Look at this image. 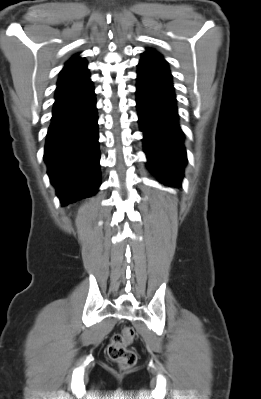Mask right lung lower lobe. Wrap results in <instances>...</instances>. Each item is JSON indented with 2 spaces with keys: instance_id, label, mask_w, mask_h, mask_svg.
Instances as JSON below:
<instances>
[{
  "instance_id": "obj_1",
  "label": "right lung lower lobe",
  "mask_w": 261,
  "mask_h": 399,
  "mask_svg": "<svg viewBox=\"0 0 261 399\" xmlns=\"http://www.w3.org/2000/svg\"><path fill=\"white\" fill-rule=\"evenodd\" d=\"M97 109L90 75L57 86L44 159L62 205L100 186Z\"/></svg>"
}]
</instances>
